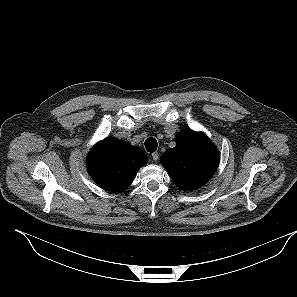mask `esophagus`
<instances>
[{"label": "esophagus", "mask_w": 297, "mask_h": 297, "mask_svg": "<svg viewBox=\"0 0 297 297\" xmlns=\"http://www.w3.org/2000/svg\"><path fill=\"white\" fill-rule=\"evenodd\" d=\"M158 159H159V154L157 152L153 153L152 160L156 162Z\"/></svg>", "instance_id": "esophagus-1"}]
</instances>
